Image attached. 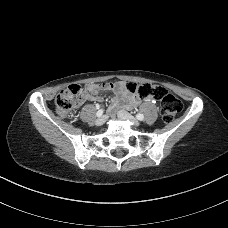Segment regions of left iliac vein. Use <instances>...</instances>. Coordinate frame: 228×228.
<instances>
[{
  "label": "left iliac vein",
  "instance_id": "4c4485c4",
  "mask_svg": "<svg viewBox=\"0 0 228 228\" xmlns=\"http://www.w3.org/2000/svg\"><path fill=\"white\" fill-rule=\"evenodd\" d=\"M118 116L123 120L130 121L134 127H138L140 125V122L138 120H136L133 116L124 110H120L118 112Z\"/></svg>",
  "mask_w": 228,
  "mask_h": 228
}]
</instances>
